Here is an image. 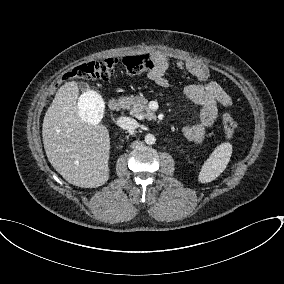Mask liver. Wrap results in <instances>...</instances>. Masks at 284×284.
<instances>
[{
  "instance_id": "6515ba94",
  "label": "liver",
  "mask_w": 284,
  "mask_h": 284,
  "mask_svg": "<svg viewBox=\"0 0 284 284\" xmlns=\"http://www.w3.org/2000/svg\"><path fill=\"white\" fill-rule=\"evenodd\" d=\"M78 95L75 81L58 89L44 116L43 144L49 162L67 182L96 188L109 179L110 137L104 125L80 119Z\"/></svg>"
}]
</instances>
